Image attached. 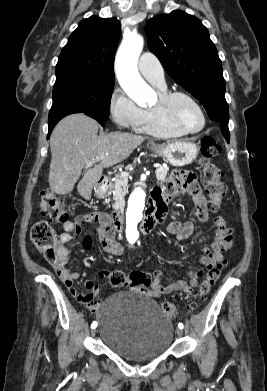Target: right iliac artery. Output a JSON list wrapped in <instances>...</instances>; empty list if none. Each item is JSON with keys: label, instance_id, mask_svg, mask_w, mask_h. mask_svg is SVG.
Returning a JSON list of instances; mask_svg holds the SVG:
<instances>
[{"label": "right iliac artery", "instance_id": "82829eb1", "mask_svg": "<svg viewBox=\"0 0 267 391\" xmlns=\"http://www.w3.org/2000/svg\"><path fill=\"white\" fill-rule=\"evenodd\" d=\"M96 327H97V323H96V322H93V323L91 324V328L94 329V328H96Z\"/></svg>", "mask_w": 267, "mask_h": 391}]
</instances>
